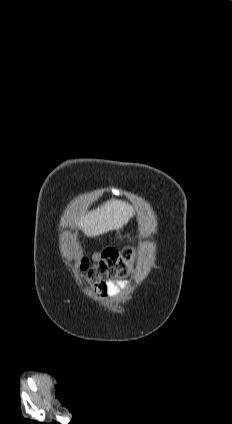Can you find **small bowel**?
Returning a JSON list of instances; mask_svg holds the SVG:
<instances>
[{"label": "small bowel", "instance_id": "obj_1", "mask_svg": "<svg viewBox=\"0 0 232 424\" xmlns=\"http://www.w3.org/2000/svg\"><path fill=\"white\" fill-rule=\"evenodd\" d=\"M126 284L122 281H107L94 284L91 289L95 291L96 296L104 302L110 301L120 295Z\"/></svg>", "mask_w": 232, "mask_h": 424}]
</instances>
